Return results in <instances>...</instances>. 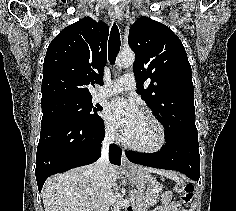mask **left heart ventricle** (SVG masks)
I'll return each mask as SVG.
<instances>
[{"label": "left heart ventricle", "instance_id": "b2bd125f", "mask_svg": "<svg viewBox=\"0 0 236 211\" xmlns=\"http://www.w3.org/2000/svg\"><path fill=\"white\" fill-rule=\"evenodd\" d=\"M124 137L134 145L152 148L159 142V131L151 121L141 116Z\"/></svg>", "mask_w": 236, "mask_h": 211}]
</instances>
